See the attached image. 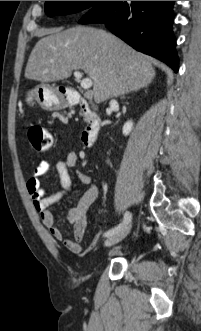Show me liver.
<instances>
[{
    "label": "liver",
    "instance_id": "6515ba94",
    "mask_svg": "<svg viewBox=\"0 0 201 331\" xmlns=\"http://www.w3.org/2000/svg\"><path fill=\"white\" fill-rule=\"evenodd\" d=\"M33 48L25 78L42 84L82 70L92 80L96 103L148 86L155 77L149 59L122 40L90 27L52 30Z\"/></svg>",
    "mask_w": 201,
    "mask_h": 331
}]
</instances>
